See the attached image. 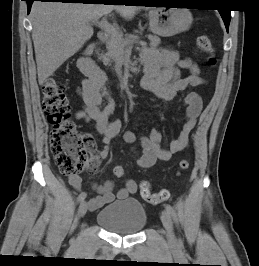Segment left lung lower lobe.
<instances>
[{
    "mask_svg": "<svg viewBox=\"0 0 259 266\" xmlns=\"http://www.w3.org/2000/svg\"><path fill=\"white\" fill-rule=\"evenodd\" d=\"M145 3L149 4V3H165V2H163V1L147 2L146 1ZM219 11H220L222 19L224 21L225 27L228 31L229 23H230V19H231V12L227 9H220Z\"/></svg>",
    "mask_w": 259,
    "mask_h": 266,
    "instance_id": "0a47b994",
    "label": "left lung lower lobe"
}]
</instances>
